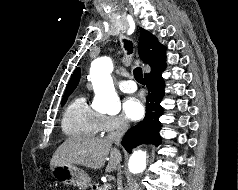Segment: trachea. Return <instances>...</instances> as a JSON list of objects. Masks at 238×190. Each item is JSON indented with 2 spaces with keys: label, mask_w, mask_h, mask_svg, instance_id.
Masks as SVG:
<instances>
[{
  "label": "trachea",
  "mask_w": 238,
  "mask_h": 190,
  "mask_svg": "<svg viewBox=\"0 0 238 190\" xmlns=\"http://www.w3.org/2000/svg\"><path fill=\"white\" fill-rule=\"evenodd\" d=\"M124 47L128 51V54L132 53L133 44L131 41L124 40ZM134 78L142 85H144V78L142 69L140 67H137L134 69Z\"/></svg>",
  "instance_id": "trachea-1"
}]
</instances>
